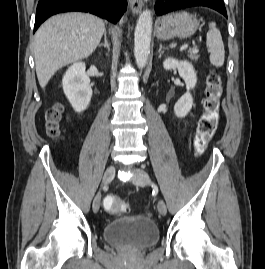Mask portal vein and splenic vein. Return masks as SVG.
Segmentation results:
<instances>
[{"label": "portal vein and splenic vein", "mask_w": 265, "mask_h": 269, "mask_svg": "<svg viewBox=\"0 0 265 269\" xmlns=\"http://www.w3.org/2000/svg\"><path fill=\"white\" fill-rule=\"evenodd\" d=\"M188 48V44H184L181 48H180V51H184ZM199 50L197 48H194L192 50H190V52H193V53H197Z\"/></svg>", "instance_id": "18ae733b"}]
</instances>
